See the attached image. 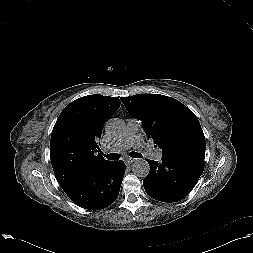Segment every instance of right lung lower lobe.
<instances>
[{
  "label": "right lung lower lobe",
  "instance_id": "1",
  "mask_svg": "<svg viewBox=\"0 0 253 253\" xmlns=\"http://www.w3.org/2000/svg\"><path fill=\"white\" fill-rule=\"evenodd\" d=\"M124 174L123 161H109L100 170L78 180L64 191L75 204L82 208L103 209L118 197Z\"/></svg>",
  "mask_w": 253,
  "mask_h": 253
}]
</instances>
